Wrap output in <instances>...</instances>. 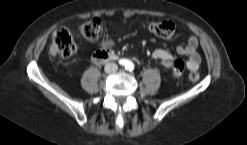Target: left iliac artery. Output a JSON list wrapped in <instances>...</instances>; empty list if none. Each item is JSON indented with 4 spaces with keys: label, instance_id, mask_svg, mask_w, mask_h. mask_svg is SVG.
<instances>
[{
    "label": "left iliac artery",
    "instance_id": "left-iliac-artery-1",
    "mask_svg": "<svg viewBox=\"0 0 247 145\" xmlns=\"http://www.w3.org/2000/svg\"><path fill=\"white\" fill-rule=\"evenodd\" d=\"M127 68L132 70L133 69V64L129 61L127 62Z\"/></svg>",
    "mask_w": 247,
    "mask_h": 145
}]
</instances>
